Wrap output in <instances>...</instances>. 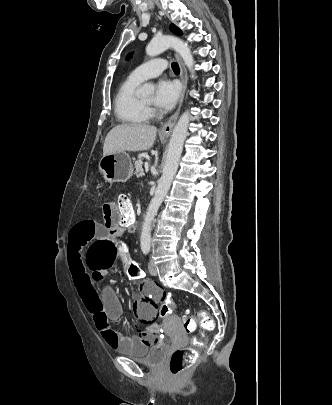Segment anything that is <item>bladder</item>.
I'll return each instance as SVG.
<instances>
[{
  "mask_svg": "<svg viewBox=\"0 0 332 405\" xmlns=\"http://www.w3.org/2000/svg\"><path fill=\"white\" fill-rule=\"evenodd\" d=\"M167 349V345L162 342L144 347L141 353H137L131 348L119 349V352L131 357L138 362L147 364L149 366H156L164 361L167 355Z\"/></svg>",
  "mask_w": 332,
  "mask_h": 405,
  "instance_id": "obj_1",
  "label": "bladder"
}]
</instances>
